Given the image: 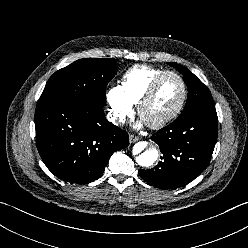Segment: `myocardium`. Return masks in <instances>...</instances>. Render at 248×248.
Listing matches in <instances>:
<instances>
[{
  "label": "myocardium",
  "mask_w": 248,
  "mask_h": 248,
  "mask_svg": "<svg viewBox=\"0 0 248 248\" xmlns=\"http://www.w3.org/2000/svg\"><path fill=\"white\" fill-rule=\"evenodd\" d=\"M168 76H175L176 78L179 79V81L181 83L182 96H181L180 102L177 105V107L172 112L167 114L166 116H164L158 120H155V121H146L143 117L144 110L147 107V105L151 102V100L153 99L160 83ZM187 96H188V89H187V85H186V82L183 79V77L176 72L166 71V72L162 73L161 75H159L158 77H156L152 81V83L150 84L149 88L147 89V91L145 92V94L141 98L140 102L138 103V114L150 128H153V129L162 128L165 125L172 122L174 119H176L179 116V114L182 112V110L185 106Z\"/></svg>",
  "instance_id": "1"
}]
</instances>
